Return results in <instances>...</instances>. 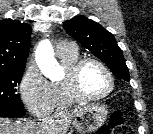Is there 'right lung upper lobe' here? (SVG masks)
Masks as SVG:
<instances>
[{
	"label": "right lung upper lobe",
	"mask_w": 153,
	"mask_h": 134,
	"mask_svg": "<svg viewBox=\"0 0 153 134\" xmlns=\"http://www.w3.org/2000/svg\"><path fill=\"white\" fill-rule=\"evenodd\" d=\"M31 31L29 24L17 20L0 21V69L25 68Z\"/></svg>",
	"instance_id": "obj_1"
}]
</instances>
